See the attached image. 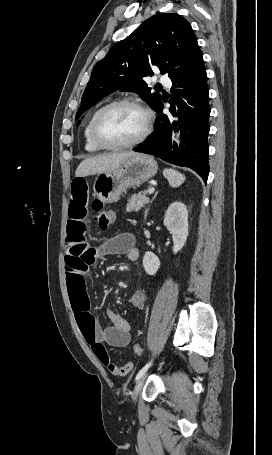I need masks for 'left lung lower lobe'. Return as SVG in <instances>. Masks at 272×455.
I'll return each instance as SVG.
<instances>
[{
    "mask_svg": "<svg viewBox=\"0 0 272 455\" xmlns=\"http://www.w3.org/2000/svg\"><path fill=\"white\" fill-rule=\"evenodd\" d=\"M173 97L169 100L170 112L180 119V146H172L175 128L163 114V101L155 108L159 116L155 132L134 151L152 154L162 160L196 171L206 183L209 174L208 142L209 115L207 75L203 57L200 56L186 68L170 77ZM172 148L174 150H172Z\"/></svg>",
    "mask_w": 272,
    "mask_h": 455,
    "instance_id": "0a47b994",
    "label": "left lung lower lobe"
}]
</instances>
